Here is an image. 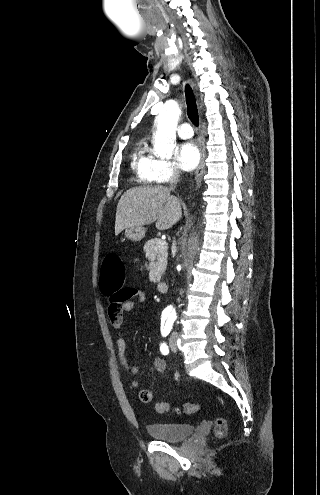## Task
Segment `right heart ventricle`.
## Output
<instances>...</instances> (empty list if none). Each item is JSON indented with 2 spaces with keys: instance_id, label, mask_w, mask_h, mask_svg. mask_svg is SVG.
<instances>
[{
  "instance_id": "obj_1",
  "label": "right heart ventricle",
  "mask_w": 320,
  "mask_h": 495,
  "mask_svg": "<svg viewBox=\"0 0 320 495\" xmlns=\"http://www.w3.org/2000/svg\"><path fill=\"white\" fill-rule=\"evenodd\" d=\"M153 162L154 158L152 157L147 144L145 142L140 143L132 155L131 162V167L139 182L144 184L153 182Z\"/></svg>"
}]
</instances>
